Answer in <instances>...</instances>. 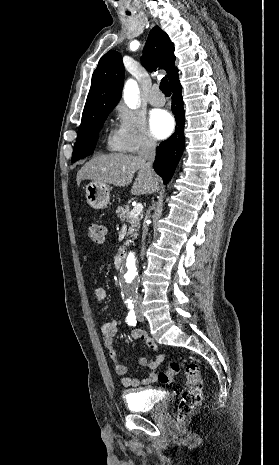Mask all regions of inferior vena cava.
<instances>
[{
  "instance_id": "1",
  "label": "inferior vena cava",
  "mask_w": 279,
  "mask_h": 465,
  "mask_svg": "<svg viewBox=\"0 0 279 465\" xmlns=\"http://www.w3.org/2000/svg\"><path fill=\"white\" fill-rule=\"evenodd\" d=\"M155 149H156V142L149 136H146L143 140L141 145L140 151L138 152V158L144 162L145 167L153 172V161L155 158ZM148 233V226L144 225L143 228V240H142V247H141V259H143V255L145 252V238ZM137 301L141 300V296L139 293L135 295Z\"/></svg>"
}]
</instances>
